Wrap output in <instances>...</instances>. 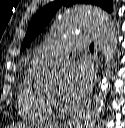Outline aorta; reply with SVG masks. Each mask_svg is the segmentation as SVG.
I'll return each mask as SVG.
<instances>
[{
    "label": "aorta",
    "instance_id": "1",
    "mask_svg": "<svg viewBox=\"0 0 125 128\" xmlns=\"http://www.w3.org/2000/svg\"><path fill=\"white\" fill-rule=\"evenodd\" d=\"M88 31L91 33L102 50L107 64L106 73L110 74L109 61L113 59L117 50V35L108 14L95 6L79 4L62 13L52 28L54 35ZM104 76L99 84L100 91L88 104L87 108L79 115L73 128H95L101 112L105 106L108 88V77ZM56 73L48 69L41 71L37 83L41 88L51 89L57 85Z\"/></svg>",
    "mask_w": 125,
    "mask_h": 128
}]
</instances>
